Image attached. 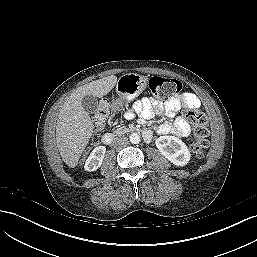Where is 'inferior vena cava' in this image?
<instances>
[{
  "label": "inferior vena cava",
  "instance_id": "inferior-vena-cava-1",
  "mask_svg": "<svg viewBox=\"0 0 257 257\" xmlns=\"http://www.w3.org/2000/svg\"><path fill=\"white\" fill-rule=\"evenodd\" d=\"M129 143L128 141V138L125 137V136H120V137H117L115 140H114V147L116 148H121V147H124L126 146L127 144Z\"/></svg>",
  "mask_w": 257,
  "mask_h": 257
}]
</instances>
